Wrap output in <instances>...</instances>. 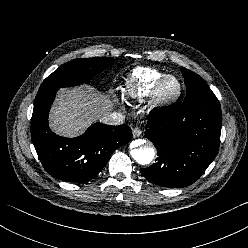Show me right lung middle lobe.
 I'll use <instances>...</instances> for the list:
<instances>
[{"instance_id":"right-lung-middle-lobe-1","label":"right lung middle lobe","mask_w":248,"mask_h":248,"mask_svg":"<svg viewBox=\"0 0 248 248\" xmlns=\"http://www.w3.org/2000/svg\"><path fill=\"white\" fill-rule=\"evenodd\" d=\"M112 63L113 58L111 57L74 59L49 75L41 84L38 92L77 86L105 70Z\"/></svg>"}]
</instances>
